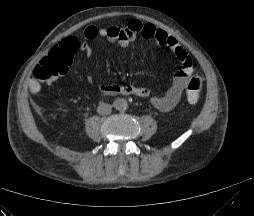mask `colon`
Here are the masks:
<instances>
[{
	"mask_svg": "<svg viewBox=\"0 0 254 216\" xmlns=\"http://www.w3.org/2000/svg\"><path fill=\"white\" fill-rule=\"evenodd\" d=\"M71 54L64 50L52 49L35 67L34 75L36 80L44 85L54 83L59 76L64 74L70 66ZM203 86V79L200 75H191L186 85L187 101L191 104L199 99Z\"/></svg>",
	"mask_w": 254,
	"mask_h": 216,
	"instance_id": "obj_1",
	"label": "colon"
}]
</instances>
